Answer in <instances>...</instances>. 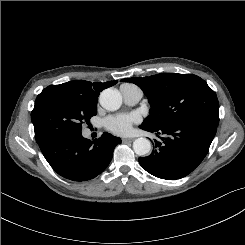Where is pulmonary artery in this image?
Listing matches in <instances>:
<instances>
[{
    "label": "pulmonary artery",
    "instance_id": "e3ab8cb5",
    "mask_svg": "<svg viewBox=\"0 0 245 245\" xmlns=\"http://www.w3.org/2000/svg\"><path fill=\"white\" fill-rule=\"evenodd\" d=\"M120 91L122 93L124 102L128 105H134L140 101L143 96L142 90L131 84H124L121 86Z\"/></svg>",
    "mask_w": 245,
    "mask_h": 245
}]
</instances>
